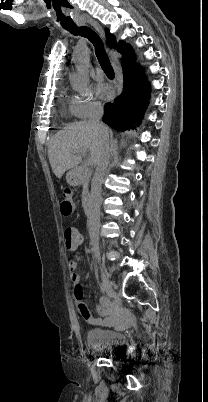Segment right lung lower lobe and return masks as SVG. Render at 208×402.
I'll list each match as a JSON object with an SVG mask.
<instances>
[{"instance_id":"obj_1","label":"right lung lower lobe","mask_w":208,"mask_h":402,"mask_svg":"<svg viewBox=\"0 0 208 402\" xmlns=\"http://www.w3.org/2000/svg\"><path fill=\"white\" fill-rule=\"evenodd\" d=\"M120 53L123 55L124 88L113 103L105 104L103 122L117 131H124L140 125L149 103L150 88L144 73L134 64L131 47L126 44Z\"/></svg>"}]
</instances>
